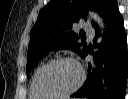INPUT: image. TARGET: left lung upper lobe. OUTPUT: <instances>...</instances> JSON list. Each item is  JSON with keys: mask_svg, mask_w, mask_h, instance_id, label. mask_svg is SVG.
Returning a JSON list of instances; mask_svg holds the SVG:
<instances>
[{"mask_svg": "<svg viewBox=\"0 0 128 99\" xmlns=\"http://www.w3.org/2000/svg\"><path fill=\"white\" fill-rule=\"evenodd\" d=\"M106 0H52L41 9L37 22L30 32L27 53V75L38 60L54 48L71 49L81 57L88 47L83 39L72 31V24L85 18L87 10L97 11L100 15ZM92 25L95 23L92 21ZM83 31H80L82 36Z\"/></svg>", "mask_w": 128, "mask_h": 99, "instance_id": "1", "label": "left lung upper lobe"}]
</instances>
